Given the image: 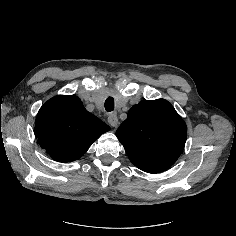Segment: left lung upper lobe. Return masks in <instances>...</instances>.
<instances>
[{"mask_svg":"<svg viewBox=\"0 0 236 236\" xmlns=\"http://www.w3.org/2000/svg\"><path fill=\"white\" fill-rule=\"evenodd\" d=\"M187 127L164 99L141 101L116 131L130 161L148 173L167 170L180 156Z\"/></svg>","mask_w":236,"mask_h":236,"instance_id":"obj_1","label":"left lung upper lobe"}]
</instances>
